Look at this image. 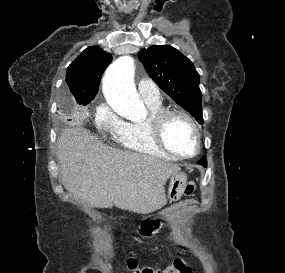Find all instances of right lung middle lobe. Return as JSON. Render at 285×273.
<instances>
[{"label": "right lung middle lobe", "mask_w": 285, "mask_h": 273, "mask_svg": "<svg viewBox=\"0 0 285 273\" xmlns=\"http://www.w3.org/2000/svg\"><path fill=\"white\" fill-rule=\"evenodd\" d=\"M88 103H84V104H82V105H87Z\"/></svg>", "instance_id": "obj_1"}]
</instances>
